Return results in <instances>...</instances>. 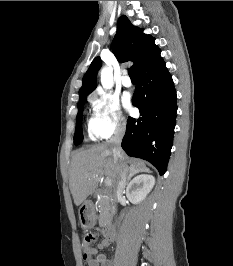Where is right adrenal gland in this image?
<instances>
[{"label": "right adrenal gland", "instance_id": "1", "mask_svg": "<svg viewBox=\"0 0 233 266\" xmlns=\"http://www.w3.org/2000/svg\"><path fill=\"white\" fill-rule=\"evenodd\" d=\"M142 172H145V171H142ZM137 173H138V172H132V171H130L129 176H128V179H127V182H126L127 187H128V185H129V181L131 180V178H132L134 175H136Z\"/></svg>", "mask_w": 233, "mask_h": 266}]
</instances>
